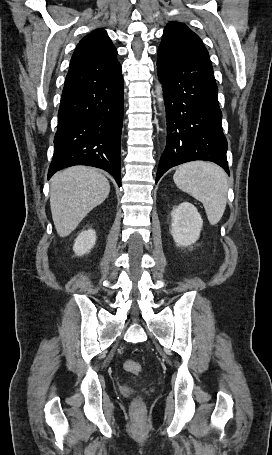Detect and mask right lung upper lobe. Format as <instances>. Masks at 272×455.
Masks as SVG:
<instances>
[{
    "label": "right lung upper lobe",
    "instance_id": "1",
    "mask_svg": "<svg viewBox=\"0 0 272 455\" xmlns=\"http://www.w3.org/2000/svg\"><path fill=\"white\" fill-rule=\"evenodd\" d=\"M116 55L117 50L104 29L86 35L73 53L63 91L121 72Z\"/></svg>",
    "mask_w": 272,
    "mask_h": 455
}]
</instances>
